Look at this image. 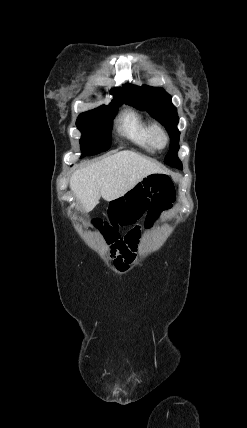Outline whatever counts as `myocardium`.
Instances as JSON below:
<instances>
[{
  "label": "myocardium",
  "instance_id": "myocardium-1",
  "mask_svg": "<svg viewBox=\"0 0 247 428\" xmlns=\"http://www.w3.org/2000/svg\"><path fill=\"white\" fill-rule=\"evenodd\" d=\"M150 135L157 148H164L169 142L168 133L160 124H153L150 126Z\"/></svg>",
  "mask_w": 247,
  "mask_h": 428
}]
</instances>
